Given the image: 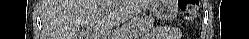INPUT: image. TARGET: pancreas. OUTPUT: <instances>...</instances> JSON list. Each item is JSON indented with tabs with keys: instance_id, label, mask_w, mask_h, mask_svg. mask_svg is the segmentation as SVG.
Segmentation results:
<instances>
[{
	"instance_id": "pancreas-1",
	"label": "pancreas",
	"mask_w": 249,
	"mask_h": 39,
	"mask_svg": "<svg viewBox=\"0 0 249 39\" xmlns=\"http://www.w3.org/2000/svg\"><path fill=\"white\" fill-rule=\"evenodd\" d=\"M153 25L154 19L151 17H136L124 24L118 36L120 39H131L135 36H141L148 32Z\"/></svg>"
}]
</instances>
